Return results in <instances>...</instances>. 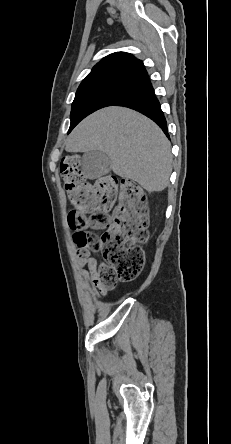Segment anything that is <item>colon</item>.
Here are the masks:
<instances>
[{
  "label": "colon",
  "mask_w": 231,
  "mask_h": 444,
  "mask_svg": "<svg viewBox=\"0 0 231 444\" xmlns=\"http://www.w3.org/2000/svg\"><path fill=\"white\" fill-rule=\"evenodd\" d=\"M60 173L74 206L69 226L81 235L80 244L88 253H101L104 258L101 287L109 291L117 282L136 279L145 263L141 245L148 239L149 213L143 190L131 180L113 176L88 182L77 156L63 158ZM97 230L105 231L99 236L94 233Z\"/></svg>",
  "instance_id": "5ec220e1"
}]
</instances>
